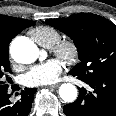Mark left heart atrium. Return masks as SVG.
<instances>
[{
	"label": "left heart atrium",
	"mask_w": 116,
	"mask_h": 116,
	"mask_svg": "<svg viewBox=\"0 0 116 116\" xmlns=\"http://www.w3.org/2000/svg\"><path fill=\"white\" fill-rule=\"evenodd\" d=\"M63 69V62L59 58H51L45 62L32 66L23 76L28 86L52 84L58 80Z\"/></svg>",
	"instance_id": "left-heart-atrium-1"
}]
</instances>
